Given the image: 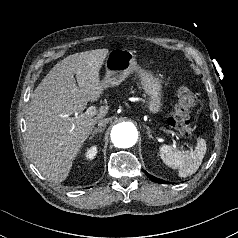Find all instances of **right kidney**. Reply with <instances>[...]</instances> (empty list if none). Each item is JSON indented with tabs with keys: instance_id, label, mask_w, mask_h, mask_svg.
Here are the masks:
<instances>
[{
	"instance_id": "obj_1",
	"label": "right kidney",
	"mask_w": 238,
	"mask_h": 238,
	"mask_svg": "<svg viewBox=\"0 0 238 238\" xmlns=\"http://www.w3.org/2000/svg\"><path fill=\"white\" fill-rule=\"evenodd\" d=\"M96 154H97V147L92 146L85 152V157L86 159L92 160L95 158Z\"/></svg>"
}]
</instances>
